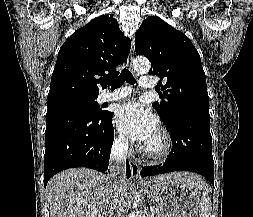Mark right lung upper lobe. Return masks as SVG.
<instances>
[{
	"label": "right lung upper lobe",
	"instance_id": "obj_1",
	"mask_svg": "<svg viewBox=\"0 0 253 217\" xmlns=\"http://www.w3.org/2000/svg\"><path fill=\"white\" fill-rule=\"evenodd\" d=\"M131 41L117 20L99 16L73 33L59 50L52 74L48 102L71 97H97L98 85L118 76L116 66L125 62Z\"/></svg>",
	"mask_w": 253,
	"mask_h": 217
}]
</instances>
